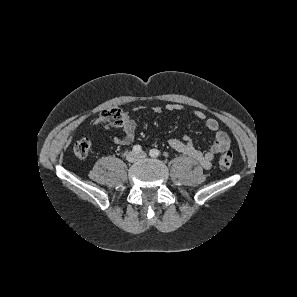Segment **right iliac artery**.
<instances>
[{"instance_id": "82829eb1", "label": "right iliac artery", "mask_w": 297, "mask_h": 297, "mask_svg": "<svg viewBox=\"0 0 297 297\" xmlns=\"http://www.w3.org/2000/svg\"><path fill=\"white\" fill-rule=\"evenodd\" d=\"M133 151L137 154L140 153L142 151V148L140 145H134L133 146Z\"/></svg>"}]
</instances>
